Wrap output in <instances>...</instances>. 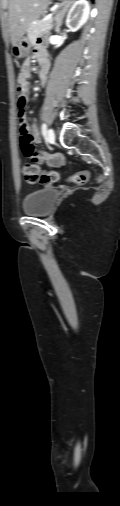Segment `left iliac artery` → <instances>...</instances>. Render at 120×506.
<instances>
[{
  "label": "left iliac artery",
  "instance_id": "obj_1",
  "mask_svg": "<svg viewBox=\"0 0 120 506\" xmlns=\"http://www.w3.org/2000/svg\"><path fill=\"white\" fill-rule=\"evenodd\" d=\"M46 133H47V126L45 123L42 124V134L43 136H46Z\"/></svg>",
  "mask_w": 120,
  "mask_h": 506
}]
</instances>
